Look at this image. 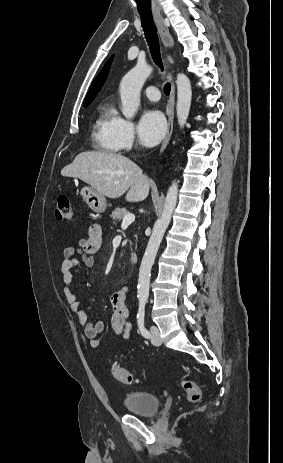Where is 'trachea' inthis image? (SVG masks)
Here are the masks:
<instances>
[{
	"mask_svg": "<svg viewBox=\"0 0 283 463\" xmlns=\"http://www.w3.org/2000/svg\"><path fill=\"white\" fill-rule=\"evenodd\" d=\"M141 23L142 28L145 34V38L148 42L150 53L154 62L161 68L163 71V65L160 54L159 39L157 35V28L153 21L152 15H143L141 14ZM171 86L169 83H166L164 86V93L169 96Z\"/></svg>",
	"mask_w": 283,
	"mask_h": 463,
	"instance_id": "3493384b",
	"label": "trachea"
}]
</instances>
